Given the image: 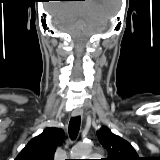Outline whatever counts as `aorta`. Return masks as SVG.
<instances>
[{"label":"aorta","instance_id":"aorta-1","mask_svg":"<svg viewBox=\"0 0 160 160\" xmlns=\"http://www.w3.org/2000/svg\"><path fill=\"white\" fill-rule=\"evenodd\" d=\"M91 144L90 143H79L77 144L71 153L72 159H86V157L91 152Z\"/></svg>","mask_w":160,"mask_h":160}]
</instances>
